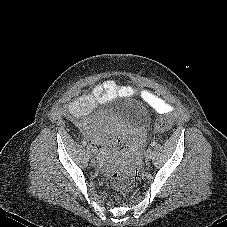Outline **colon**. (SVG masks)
Returning a JSON list of instances; mask_svg holds the SVG:
<instances>
[{"instance_id":"obj_1","label":"colon","mask_w":227,"mask_h":227,"mask_svg":"<svg viewBox=\"0 0 227 227\" xmlns=\"http://www.w3.org/2000/svg\"><path fill=\"white\" fill-rule=\"evenodd\" d=\"M174 122V116L171 114L164 115L154 127L153 132L156 136L161 137L165 134ZM138 175V167L131 164L127 168L116 171L111 175L110 184L115 190L117 198H123L132 188Z\"/></svg>"}]
</instances>
